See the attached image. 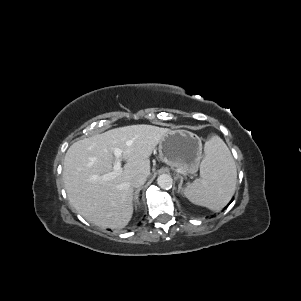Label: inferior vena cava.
I'll list each match as a JSON object with an SVG mask.
<instances>
[{
    "label": "inferior vena cava",
    "mask_w": 301,
    "mask_h": 301,
    "mask_svg": "<svg viewBox=\"0 0 301 301\" xmlns=\"http://www.w3.org/2000/svg\"><path fill=\"white\" fill-rule=\"evenodd\" d=\"M147 175L144 173H139L135 175L131 181V185L134 188H140L146 182Z\"/></svg>",
    "instance_id": "inferior-vena-cava-1"
}]
</instances>
